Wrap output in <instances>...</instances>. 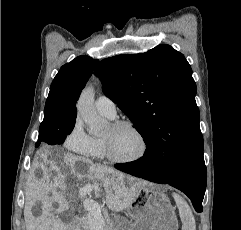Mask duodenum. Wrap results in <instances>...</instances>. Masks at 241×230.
<instances>
[{
    "mask_svg": "<svg viewBox=\"0 0 241 230\" xmlns=\"http://www.w3.org/2000/svg\"><path fill=\"white\" fill-rule=\"evenodd\" d=\"M78 222H79V218L78 217H74L72 219V221L70 222V227L73 229V228H76L77 225H78Z\"/></svg>",
    "mask_w": 241,
    "mask_h": 230,
    "instance_id": "duodenum-1",
    "label": "duodenum"
}]
</instances>
